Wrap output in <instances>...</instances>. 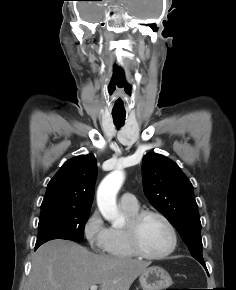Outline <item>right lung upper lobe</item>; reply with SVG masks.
<instances>
[{"mask_svg": "<svg viewBox=\"0 0 236 290\" xmlns=\"http://www.w3.org/2000/svg\"><path fill=\"white\" fill-rule=\"evenodd\" d=\"M97 173L92 154L69 159L48 183L41 210H90Z\"/></svg>", "mask_w": 236, "mask_h": 290, "instance_id": "1", "label": "right lung upper lobe"}]
</instances>
